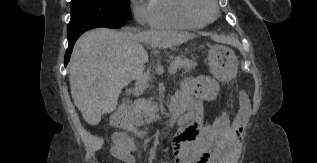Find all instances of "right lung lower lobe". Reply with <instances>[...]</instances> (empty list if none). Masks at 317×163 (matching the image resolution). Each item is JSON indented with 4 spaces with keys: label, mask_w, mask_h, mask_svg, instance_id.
Listing matches in <instances>:
<instances>
[{
    "label": "right lung lower lobe",
    "mask_w": 317,
    "mask_h": 163,
    "mask_svg": "<svg viewBox=\"0 0 317 163\" xmlns=\"http://www.w3.org/2000/svg\"><path fill=\"white\" fill-rule=\"evenodd\" d=\"M124 24L123 23H110V22H106V23H99L97 25H94L86 30H83L75 35H72L70 37H68V49L66 51L65 54V66L67 65V63L69 62L70 59V54L72 53L73 50V46L74 43L76 42V40L78 39V37L83 34L85 31L93 29V28H98V27H107V28H120L122 27Z\"/></svg>",
    "instance_id": "98d812e1"
}]
</instances>
